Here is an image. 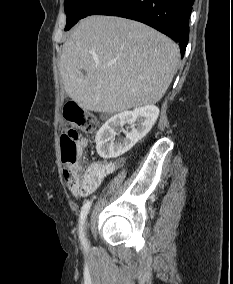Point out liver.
I'll return each mask as SVG.
<instances>
[{
  "label": "liver",
  "mask_w": 233,
  "mask_h": 284,
  "mask_svg": "<svg viewBox=\"0 0 233 284\" xmlns=\"http://www.w3.org/2000/svg\"><path fill=\"white\" fill-rule=\"evenodd\" d=\"M179 59L178 45L143 23L89 16L64 42L59 70L66 94L80 107L114 114L157 103Z\"/></svg>",
  "instance_id": "6515ba94"
}]
</instances>
